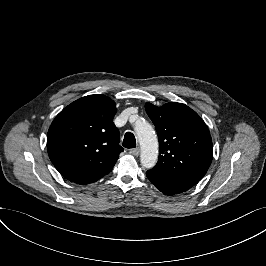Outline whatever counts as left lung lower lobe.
<instances>
[{"mask_svg":"<svg viewBox=\"0 0 266 266\" xmlns=\"http://www.w3.org/2000/svg\"><path fill=\"white\" fill-rule=\"evenodd\" d=\"M147 177L161 192L166 195H175L185 192L191 188L183 183L169 179L151 170L147 171Z\"/></svg>","mask_w":266,"mask_h":266,"instance_id":"0a47b994","label":"left lung lower lobe"}]
</instances>
